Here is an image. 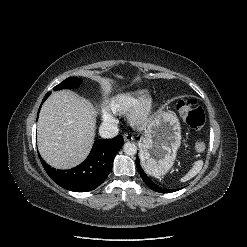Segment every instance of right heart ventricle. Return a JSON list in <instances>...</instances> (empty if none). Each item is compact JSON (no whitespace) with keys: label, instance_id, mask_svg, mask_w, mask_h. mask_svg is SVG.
I'll return each mask as SVG.
<instances>
[{"label":"right heart ventricle","instance_id":"1","mask_svg":"<svg viewBox=\"0 0 247 247\" xmlns=\"http://www.w3.org/2000/svg\"><path fill=\"white\" fill-rule=\"evenodd\" d=\"M146 94L147 91L144 89L118 93L106 102L105 107L112 113H125L131 110Z\"/></svg>","mask_w":247,"mask_h":247}]
</instances>
